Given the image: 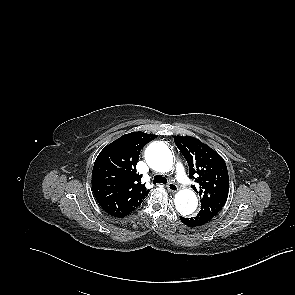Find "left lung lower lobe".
<instances>
[{
  "mask_svg": "<svg viewBox=\"0 0 295 295\" xmlns=\"http://www.w3.org/2000/svg\"><path fill=\"white\" fill-rule=\"evenodd\" d=\"M216 214L215 213H206L199 212L194 218H184L180 217L181 221L190 227L201 226L210 221Z\"/></svg>",
  "mask_w": 295,
  "mask_h": 295,
  "instance_id": "1",
  "label": "left lung lower lobe"
}]
</instances>
